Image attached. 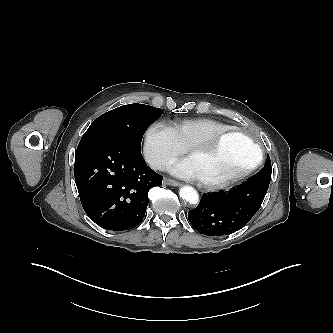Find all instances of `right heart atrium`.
Here are the masks:
<instances>
[{
	"label": "right heart atrium",
	"mask_w": 333,
	"mask_h": 333,
	"mask_svg": "<svg viewBox=\"0 0 333 333\" xmlns=\"http://www.w3.org/2000/svg\"><path fill=\"white\" fill-rule=\"evenodd\" d=\"M186 151L171 127L163 122L152 123L145 132L144 153L158 170L164 169Z\"/></svg>",
	"instance_id": "1"
}]
</instances>
